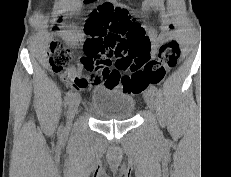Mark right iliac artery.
<instances>
[{"label":"right iliac artery","mask_w":231,"mask_h":177,"mask_svg":"<svg viewBox=\"0 0 231 177\" xmlns=\"http://www.w3.org/2000/svg\"><path fill=\"white\" fill-rule=\"evenodd\" d=\"M72 97H73V92L72 91H68L66 93L65 98H64V106H66L67 104H69V102H70V100H71ZM62 132H63V127L60 126L59 133H62Z\"/></svg>","instance_id":"1"}]
</instances>
